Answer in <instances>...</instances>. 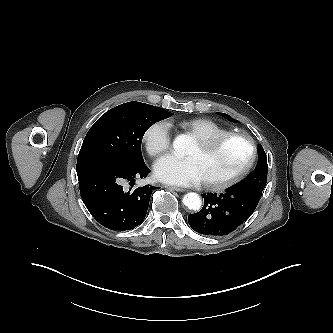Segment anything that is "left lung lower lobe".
<instances>
[{
    "label": "left lung lower lobe",
    "mask_w": 333,
    "mask_h": 333,
    "mask_svg": "<svg viewBox=\"0 0 333 333\" xmlns=\"http://www.w3.org/2000/svg\"><path fill=\"white\" fill-rule=\"evenodd\" d=\"M200 212L188 216L190 227L206 236H222L243 224L254 212L261 194L230 187L225 193L202 195Z\"/></svg>",
    "instance_id": "obj_1"
}]
</instances>
